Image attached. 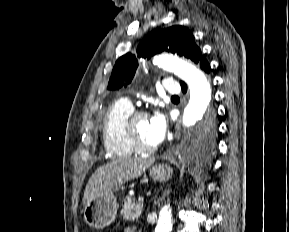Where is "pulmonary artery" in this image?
<instances>
[{"label":"pulmonary artery","instance_id":"obj_1","mask_svg":"<svg viewBox=\"0 0 289 232\" xmlns=\"http://www.w3.org/2000/svg\"><path fill=\"white\" fill-rule=\"evenodd\" d=\"M164 88L165 91L169 94H179L181 91L179 83L173 79H167L165 81Z\"/></svg>","mask_w":289,"mask_h":232}]
</instances>
